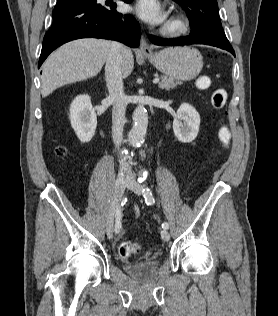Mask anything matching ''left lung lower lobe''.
Wrapping results in <instances>:
<instances>
[{
  "label": "left lung lower lobe",
  "mask_w": 278,
  "mask_h": 316,
  "mask_svg": "<svg viewBox=\"0 0 278 316\" xmlns=\"http://www.w3.org/2000/svg\"><path fill=\"white\" fill-rule=\"evenodd\" d=\"M150 41L153 44L160 45V46H183V45H190V44H206V45H211V46H215V47L227 50L235 56V52L230 44H222L215 41L195 37L192 35L178 38V39H169V40L150 35Z\"/></svg>",
  "instance_id": "1"
}]
</instances>
